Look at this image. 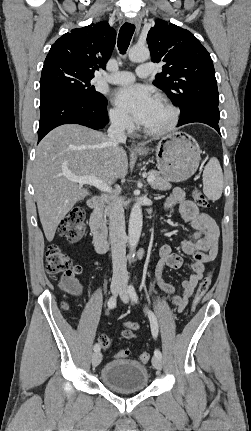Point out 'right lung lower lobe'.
<instances>
[{"label":"right lung lower lobe","instance_id":"obj_1","mask_svg":"<svg viewBox=\"0 0 251 431\" xmlns=\"http://www.w3.org/2000/svg\"><path fill=\"white\" fill-rule=\"evenodd\" d=\"M38 142L52 129L63 124H80L102 129L109 122L107 100L86 101L63 93L47 94L40 99Z\"/></svg>","mask_w":251,"mask_h":431}]
</instances>
